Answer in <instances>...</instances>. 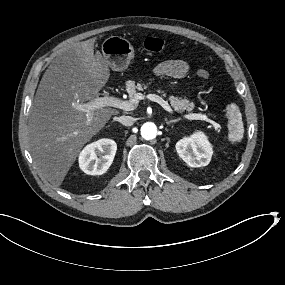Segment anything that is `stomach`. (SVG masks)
Instances as JSON below:
<instances>
[{
	"label": "stomach",
	"instance_id": "1",
	"mask_svg": "<svg viewBox=\"0 0 285 285\" xmlns=\"http://www.w3.org/2000/svg\"><path fill=\"white\" fill-rule=\"evenodd\" d=\"M102 54L112 70L123 71L134 58V48L127 39L110 36L102 43Z\"/></svg>",
	"mask_w": 285,
	"mask_h": 285
}]
</instances>
